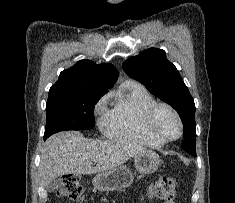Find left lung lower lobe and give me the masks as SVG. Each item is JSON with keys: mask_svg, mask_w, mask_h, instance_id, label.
Segmentation results:
<instances>
[{"mask_svg": "<svg viewBox=\"0 0 235 203\" xmlns=\"http://www.w3.org/2000/svg\"><path fill=\"white\" fill-rule=\"evenodd\" d=\"M183 134H184V140H183V143L181 144L182 148H184V150H189L188 145H189L190 137L192 136L191 131L183 130Z\"/></svg>", "mask_w": 235, "mask_h": 203, "instance_id": "1", "label": "left lung lower lobe"}]
</instances>
